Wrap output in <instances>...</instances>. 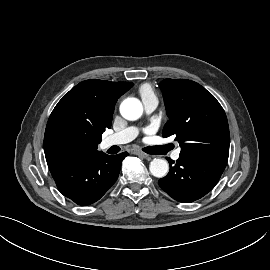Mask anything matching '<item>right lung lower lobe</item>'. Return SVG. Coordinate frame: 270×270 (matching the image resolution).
Listing matches in <instances>:
<instances>
[{
    "label": "right lung lower lobe",
    "instance_id": "98d812e1",
    "mask_svg": "<svg viewBox=\"0 0 270 270\" xmlns=\"http://www.w3.org/2000/svg\"><path fill=\"white\" fill-rule=\"evenodd\" d=\"M127 152L110 156L103 152L67 160L50 167L59 191L78 205L99 200L115 183Z\"/></svg>",
    "mask_w": 270,
    "mask_h": 270
}]
</instances>
